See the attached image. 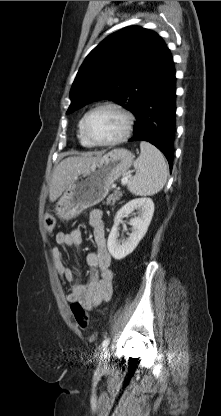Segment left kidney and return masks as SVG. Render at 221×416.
<instances>
[{
  "label": "left kidney",
  "instance_id": "obj_1",
  "mask_svg": "<svg viewBox=\"0 0 221 416\" xmlns=\"http://www.w3.org/2000/svg\"><path fill=\"white\" fill-rule=\"evenodd\" d=\"M138 210L137 217L130 220L132 233L128 238L118 240V225L126 214ZM154 213V203L150 198L133 199L126 203L115 215L114 225L108 237L107 246L109 253L116 260H121L132 253L141 239L145 236Z\"/></svg>",
  "mask_w": 221,
  "mask_h": 416
}]
</instances>
